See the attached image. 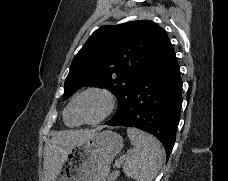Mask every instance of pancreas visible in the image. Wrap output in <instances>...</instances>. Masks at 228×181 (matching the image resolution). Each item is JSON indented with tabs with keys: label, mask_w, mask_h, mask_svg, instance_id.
<instances>
[{
	"label": "pancreas",
	"mask_w": 228,
	"mask_h": 181,
	"mask_svg": "<svg viewBox=\"0 0 228 181\" xmlns=\"http://www.w3.org/2000/svg\"><path fill=\"white\" fill-rule=\"evenodd\" d=\"M120 171H113L107 181H115L116 177H119Z\"/></svg>",
	"instance_id": "cf45deb5"
}]
</instances>
